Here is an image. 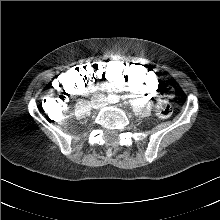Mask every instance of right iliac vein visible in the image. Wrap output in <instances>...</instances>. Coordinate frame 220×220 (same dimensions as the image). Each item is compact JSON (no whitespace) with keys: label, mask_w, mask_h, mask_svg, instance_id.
<instances>
[{"label":"right iliac vein","mask_w":220,"mask_h":220,"mask_svg":"<svg viewBox=\"0 0 220 220\" xmlns=\"http://www.w3.org/2000/svg\"><path fill=\"white\" fill-rule=\"evenodd\" d=\"M94 105V107H96L97 108V105L96 104H93Z\"/></svg>","instance_id":"63e3f726"}]
</instances>
